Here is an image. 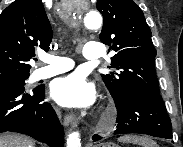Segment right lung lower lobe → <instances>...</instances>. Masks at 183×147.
I'll use <instances>...</instances> for the list:
<instances>
[{"instance_id": "98d812e1", "label": "right lung lower lobe", "mask_w": 183, "mask_h": 147, "mask_svg": "<svg viewBox=\"0 0 183 147\" xmlns=\"http://www.w3.org/2000/svg\"><path fill=\"white\" fill-rule=\"evenodd\" d=\"M44 99V87L29 93L24 85L0 86V133L18 132L50 147H63V128L52 106Z\"/></svg>"}]
</instances>
